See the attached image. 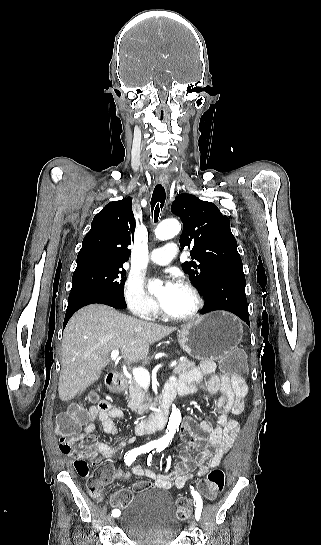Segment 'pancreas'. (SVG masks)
<instances>
[{
	"instance_id": "pancreas-1",
	"label": "pancreas",
	"mask_w": 321,
	"mask_h": 545,
	"mask_svg": "<svg viewBox=\"0 0 321 545\" xmlns=\"http://www.w3.org/2000/svg\"><path fill=\"white\" fill-rule=\"evenodd\" d=\"M190 367H195V363L188 361V359L179 361L178 365H176V367L173 369L172 377H175V375H181V373H185V371H189ZM148 401V395H145L144 387L138 385L135 379H131V383H129V409H131V411H135V413H138V415H144V413H147L150 405Z\"/></svg>"
}]
</instances>
